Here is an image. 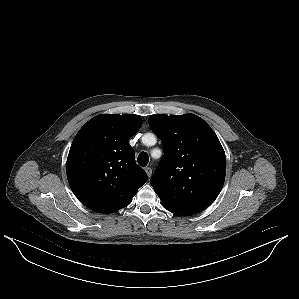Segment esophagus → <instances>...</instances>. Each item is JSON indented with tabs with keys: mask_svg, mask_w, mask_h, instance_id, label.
<instances>
[{
	"mask_svg": "<svg viewBox=\"0 0 299 299\" xmlns=\"http://www.w3.org/2000/svg\"><path fill=\"white\" fill-rule=\"evenodd\" d=\"M145 172L147 173L148 177L150 178L152 175V169L150 167H146Z\"/></svg>",
	"mask_w": 299,
	"mask_h": 299,
	"instance_id": "34e87169",
	"label": "esophagus"
}]
</instances>
